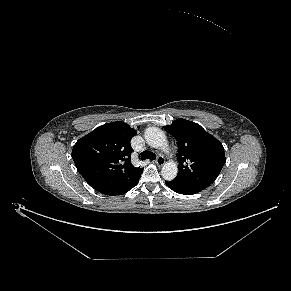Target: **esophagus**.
<instances>
[{
    "label": "esophagus",
    "instance_id": "esophagus-1",
    "mask_svg": "<svg viewBox=\"0 0 291 291\" xmlns=\"http://www.w3.org/2000/svg\"><path fill=\"white\" fill-rule=\"evenodd\" d=\"M155 163L158 166H163L165 164V158L163 156H158L157 159L155 160Z\"/></svg>",
    "mask_w": 291,
    "mask_h": 291
}]
</instances>
